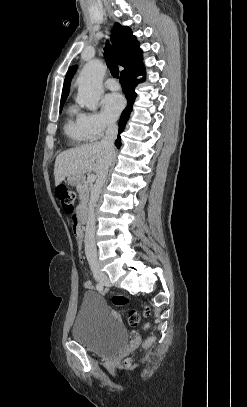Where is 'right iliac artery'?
<instances>
[{"label":"right iliac artery","instance_id":"82829eb1","mask_svg":"<svg viewBox=\"0 0 247 407\" xmlns=\"http://www.w3.org/2000/svg\"><path fill=\"white\" fill-rule=\"evenodd\" d=\"M96 289H97L99 292H102V291H103V285H102L101 283H98V284L96 285Z\"/></svg>","mask_w":247,"mask_h":407}]
</instances>
